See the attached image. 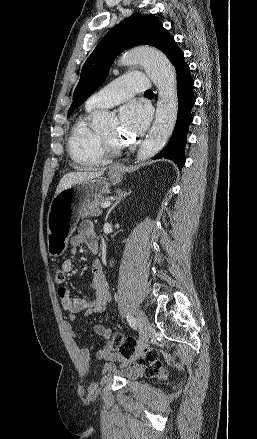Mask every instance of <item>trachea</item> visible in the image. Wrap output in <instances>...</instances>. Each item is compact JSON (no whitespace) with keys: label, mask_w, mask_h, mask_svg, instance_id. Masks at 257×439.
Returning <instances> with one entry per match:
<instances>
[{"label":"trachea","mask_w":257,"mask_h":439,"mask_svg":"<svg viewBox=\"0 0 257 439\" xmlns=\"http://www.w3.org/2000/svg\"><path fill=\"white\" fill-rule=\"evenodd\" d=\"M145 93H152V91H146Z\"/></svg>","instance_id":"obj_1"}]
</instances>
